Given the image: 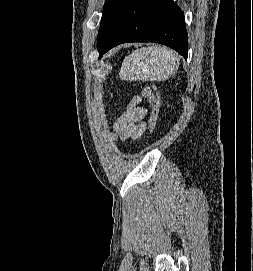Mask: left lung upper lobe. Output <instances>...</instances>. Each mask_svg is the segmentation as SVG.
<instances>
[{
	"instance_id": "1",
	"label": "left lung upper lobe",
	"mask_w": 253,
	"mask_h": 271,
	"mask_svg": "<svg viewBox=\"0 0 253 271\" xmlns=\"http://www.w3.org/2000/svg\"><path fill=\"white\" fill-rule=\"evenodd\" d=\"M130 0H106L98 32V51L115 30Z\"/></svg>"
}]
</instances>
